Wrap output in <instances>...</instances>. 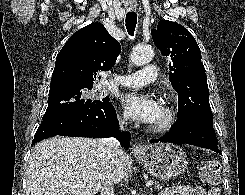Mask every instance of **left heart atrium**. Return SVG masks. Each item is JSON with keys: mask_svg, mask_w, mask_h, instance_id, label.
<instances>
[{"mask_svg": "<svg viewBox=\"0 0 245 195\" xmlns=\"http://www.w3.org/2000/svg\"><path fill=\"white\" fill-rule=\"evenodd\" d=\"M120 99L128 114L141 123L153 124L161 110L159 102L152 96L138 91L124 93Z\"/></svg>", "mask_w": 245, "mask_h": 195, "instance_id": "1", "label": "left heart atrium"}]
</instances>
